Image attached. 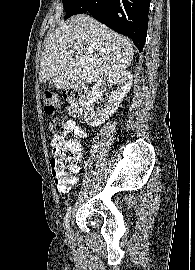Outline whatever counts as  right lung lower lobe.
Masks as SVG:
<instances>
[{
  "mask_svg": "<svg viewBox=\"0 0 195 270\" xmlns=\"http://www.w3.org/2000/svg\"><path fill=\"white\" fill-rule=\"evenodd\" d=\"M150 0H82L80 13L132 39L141 52L146 40Z\"/></svg>",
  "mask_w": 195,
  "mask_h": 270,
  "instance_id": "right-lung-lower-lobe-1",
  "label": "right lung lower lobe"
}]
</instances>
